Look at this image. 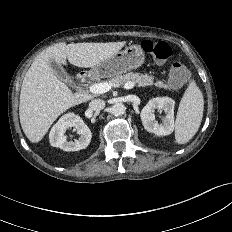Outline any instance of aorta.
I'll use <instances>...</instances> for the list:
<instances>
[{
	"instance_id": "1",
	"label": "aorta",
	"mask_w": 232,
	"mask_h": 232,
	"mask_svg": "<svg viewBox=\"0 0 232 232\" xmlns=\"http://www.w3.org/2000/svg\"><path fill=\"white\" fill-rule=\"evenodd\" d=\"M111 113L115 116H122L125 113V106L122 103H116L111 107Z\"/></svg>"
}]
</instances>
